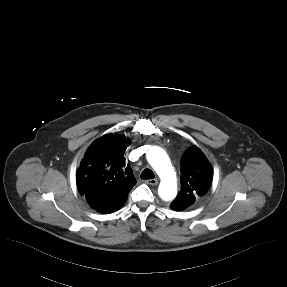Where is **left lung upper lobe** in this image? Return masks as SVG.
I'll list each match as a JSON object with an SVG mask.
<instances>
[{
  "instance_id": "obj_1",
  "label": "left lung upper lobe",
  "mask_w": 287,
  "mask_h": 287,
  "mask_svg": "<svg viewBox=\"0 0 287 287\" xmlns=\"http://www.w3.org/2000/svg\"><path fill=\"white\" fill-rule=\"evenodd\" d=\"M210 163L197 146L189 147L181 158V190L171 203L174 210H184L207 192L212 184Z\"/></svg>"
}]
</instances>
